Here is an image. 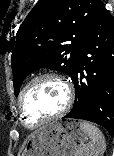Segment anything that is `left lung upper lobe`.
<instances>
[{"mask_svg":"<svg viewBox=\"0 0 114 156\" xmlns=\"http://www.w3.org/2000/svg\"><path fill=\"white\" fill-rule=\"evenodd\" d=\"M99 0H39L21 24L12 51L15 95L39 68L73 77L77 55Z\"/></svg>","mask_w":114,"mask_h":156,"instance_id":"5c2ea615","label":"left lung upper lobe"}]
</instances>
